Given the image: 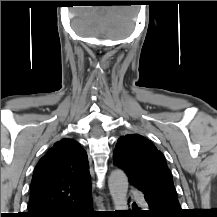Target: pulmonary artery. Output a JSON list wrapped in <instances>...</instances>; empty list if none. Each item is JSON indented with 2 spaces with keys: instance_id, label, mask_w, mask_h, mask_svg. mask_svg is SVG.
<instances>
[{
  "instance_id": "pulmonary-artery-1",
  "label": "pulmonary artery",
  "mask_w": 217,
  "mask_h": 217,
  "mask_svg": "<svg viewBox=\"0 0 217 217\" xmlns=\"http://www.w3.org/2000/svg\"><path fill=\"white\" fill-rule=\"evenodd\" d=\"M133 196L137 199L138 203L141 205H145L146 201L139 193H134Z\"/></svg>"
}]
</instances>
